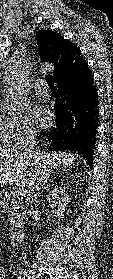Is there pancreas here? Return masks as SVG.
I'll return each mask as SVG.
<instances>
[{
  "label": "pancreas",
  "instance_id": "pancreas-1",
  "mask_svg": "<svg viewBox=\"0 0 113 279\" xmlns=\"http://www.w3.org/2000/svg\"><path fill=\"white\" fill-rule=\"evenodd\" d=\"M2 206L11 212L9 221L12 227L22 224L24 218L23 197L18 196L16 191L8 192L3 198Z\"/></svg>",
  "mask_w": 113,
  "mask_h": 279
}]
</instances>
